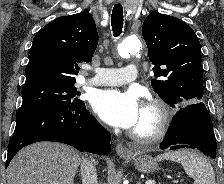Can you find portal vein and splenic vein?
<instances>
[{"label":"portal vein and splenic vein","mask_w":224,"mask_h":184,"mask_svg":"<svg viewBox=\"0 0 224 184\" xmlns=\"http://www.w3.org/2000/svg\"><path fill=\"white\" fill-rule=\"evenodd\" d=\"M145 184H156L154 180H147Z\"/></svg>","instance_id":"18ae733b"}]
</instances>
